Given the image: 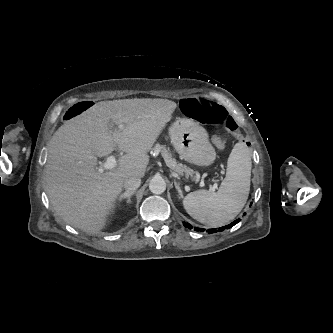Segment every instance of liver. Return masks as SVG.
Returning a JSON list of instances; mask_svg holds the SVG:
<instances>
[{
	"label": "liver",
	"instance_id": "6515ba94",
	"mask_svg": "<svg viewBox=\"0 0 333 333\" xmlns=\"http://www.w3.org/2000/svg\"><path fill=\"white\" fill-rule=\"evenodd\" d=\"M175 108L166 99L101 101L67 120L50 141L45 166L46 191L56 213L85 232L102 230L124 180L145 175L147 153ZM110 120L122 127L109 130ZM116 148L126 152L117 168L97 171V157Z\"/></svg>",
	"mask_w": 333,
	"mask_h": 333
}]
</instances>
